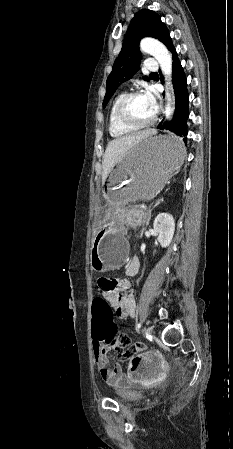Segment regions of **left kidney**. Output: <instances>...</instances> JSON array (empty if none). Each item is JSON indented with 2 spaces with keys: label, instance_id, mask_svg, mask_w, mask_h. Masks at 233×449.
Returning a JSON list of instances; mask_svg holds the SVG:
<instances>
[{
  "label": "left kidney",
  "instance_id": "obj_1",
  "mask_svg": "<svg viewBox=\"0 0 233 449\" xmlns=\"http://www.w3.org/2000/svg\"><path fill=\"white\" fill-rule=\"evenodd\" d=\"M154 231L158 234V241L163 248L169 246L175 231V221L172 215L160 213L153 223Z\"/></svg>",
  "mask_w": 233,
  "mask_h": 449
}]
</instances>
